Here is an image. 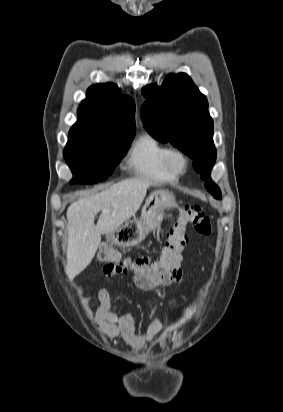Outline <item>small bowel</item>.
<instances>
[{
	"mask_svg": "<svg viewBox=\"0 0 283 412\" xmlns=\"http://www.w3.org/2000/svg\"><path fill=\"white\" fill-rule=\"evenodd\" d=\"M132 273V282L134 286L137 289L144 291L151 290L158 286L180 282L183 277L181 256L179 254L176 255L169 270L159 274L155 278L147 277L135 272ZM97 298L99 304L94 313L88 308V303L91 299L90 295H86L81 299V305L86 314L93 317L95 322L105 331L107 336L121 337L128 345L138 347L145 342L155 339L161 332L162 323L158 318H153L144 329L138 330L133 313L113 311L111 309V296L105 287H101L98 290ZM190 313V310H185L186 315H189Z\"/></svg>",
	"mask_w": 283,
	"mask_h": 412,
	"instance_id": "obj_1",
	"label": "small bowel"
}]
</instances>
